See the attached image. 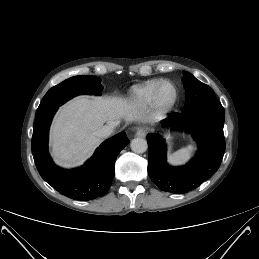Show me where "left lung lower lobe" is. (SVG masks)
<instances>
[{"label":"left lung lower lobe","mask_w":259,"mask_h":259,"mask_svg":"<svg viewBox=\"0 0 259 259\" xmlns=\"http://www.w3.org/2000/svg\"><path fill=\"white\" fill-rule=\"evenodd\" d=\"M224 118L222 105L169 114L164 124L191 133L199 145L197 156L182 167L167 165L163 139L157 134H148V174L160 190L188 193L217 171L225 150Z\"/></svg>","instance_id":"obj_1"}]
</instances>
